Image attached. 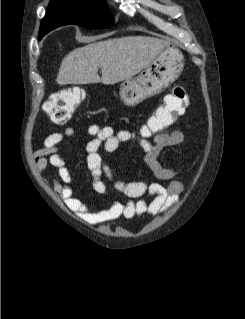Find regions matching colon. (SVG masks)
Instances as JSON below:
<instances>
[{"instance_id":"5ec220e1","label":"colon","mask_w":245,"mask_h":319,"mask_svg":"<svg viewBox=\"0 0 245 319\" xmlns=\"http://www.w3.org/2000/svg\"><path fill=\"white\" fill-rule=\"evenodd\" d=\"M185 90L177 89L170 94L164 104L141 127L144 138H151L174 124L176 118L185 110ZM85 93L80 88H71L51 96L45 103V111L54 122H65L82 102Z\"/></svg>"}]
</instances>
